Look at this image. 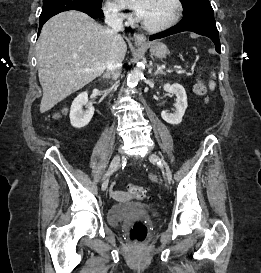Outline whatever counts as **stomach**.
<instances>
[{
	"instance_id": "obj_1",
	"label": "stomach",
	"mask_w": 261,
	"mask_h": 273,
	"mask_svg": "<svg viewBox=\"0 0 261 273\" xmlns=\"http://www.w3.org/2000/svg\"><path fill=\"white\" fill-rule=\"evenodd\" d=\"M150 52L158 58H164L168 53V49L165 44L155 42L150 45Z\"/></svg>"
}]
</instances>
